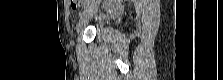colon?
<instances>
[{
    "label": "colon",
    "mask_w": 223,
    "mask_h": 80,
    "mask_svg": "<svg viewBox=\"0 0 223 80\" xmlns=\"http://www.w3.org/2000/svg\"><path fill=\"white\" fill-rule=\"evenodd\" d=\"M84 1L83 0H70V5L72 7V9H78L80 7H82ZM111 4L113 5H117L119 3L118 0H113L110 1Z\"/></svg>",
    "instance_id": "obj_1"
}]
</instances>
